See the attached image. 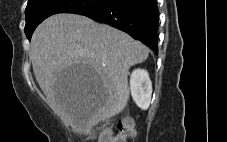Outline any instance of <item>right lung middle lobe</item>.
I'll use <instances>...</instances> for the list:
<instances>
[{
  "label": "right lung middle lobe",
  "mask_w": 227,
  "mask_h": 142,
  "mask_svg": "<svg viewBox=\"0 0 227 142\" xmlns=\"http://www.w3.org/2000/svg\"><path fill=\"white\" fill-rule=\"evenodd\" d=\"M107 0H29L25 15V33L30 40L35 28L46 18L58 13H80L104 4Z\"/></svg>",
  "instance_id": "obj_1"
}]
</instances>
